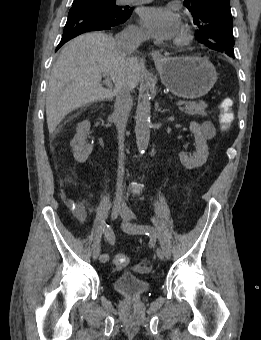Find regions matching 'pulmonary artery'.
<instances>
[{
	"label": "pulmonary artery",
	"mask_w": 261,
	"mask_h": 340,
	"mask_svg": "<svg viewBox=\"0 0 261 340\" xmlns=\"http://www.w3.org/2000/svg\"><path fill=\"white\" fill-rule=\"evenodd\" d=\"M125 3H132V2H137V3H145L148 2L150 0H122Z\"/></svg>",
	"instance_id": "1"
}]
</instances>
